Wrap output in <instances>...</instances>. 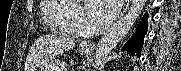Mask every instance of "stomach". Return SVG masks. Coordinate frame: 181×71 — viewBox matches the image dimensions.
<instances>
[{"label": "stomach", "instance_id": "obj_1", "mask_svg": "<svg viewBox=\"0 0 181 71\" xmlns=\"http://www.w3.org/2000/svg\"><path fill=\"white\" fill-rule=\"evenodd\" d=\"M81 52H82V54L87 55L90 53V50L82 48ZM39 71H65V67L61 66V64L50 63L48 65H43Z\"/></svg>", "mask_w": 181, "mask_h": 71}]
</instances>
